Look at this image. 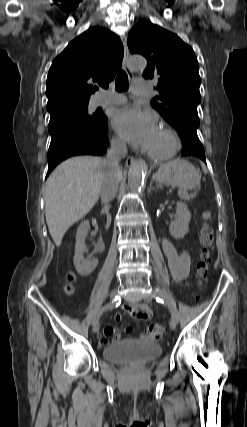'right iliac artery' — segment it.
<instances>
[{
	"instance_id": "obj_1",
	"label": "right iliac artery",
	"mask_w": 247,
	"mask_h": 427,
	"mask_svg": "<svg viewBox=\"0 0 247 427\" xmlns=\"http://www.w3.org/2000/svg\"><path fill=\"white\" fill-rule=\"evenodd\" d=\"M121 303V299L119 297H115V299L111 302L108 303L106 305H104L94 316L93 321H95L96 319H98L100 317V315L105 312L108 309H112L114 306H118Z\"/></svg>"
}]
</instances>
